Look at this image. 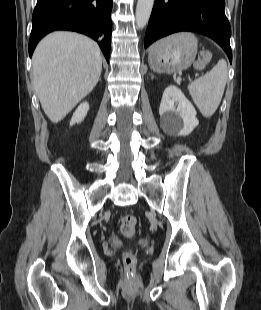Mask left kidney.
<instances>
[{
	"mask_svg": "<svg viewBox=\"0 0 261 310\" xmlns=\"http://www.w3.org/2000/svg\"><path fill=\"white\" fill-rule=\"evenodd\" d=\"M159 114L163 129L180 136L189 135L199 124L192 103L175 85H169L164 90Z\"/></svg>",
	"mask_w": 261,
	"mask_h": 310,
	"instance_id": "1",
	"label": "left kidney"
}]
</instances>
